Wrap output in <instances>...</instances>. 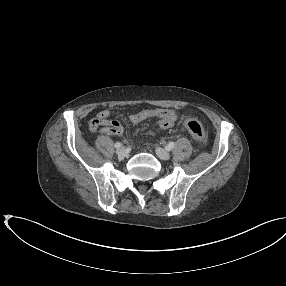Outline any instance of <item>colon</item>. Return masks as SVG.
<instances>
[{
	"instance_id": "5ec220e1",
	"label": "colon",
	"mask_w": 286,
	"mask_h": 286,
	"mask_svg": "<svg viewBox=\"0 0 286 286\" xmlns=\"http://www.w3.org/2000/svg\"><path fill=\"white\" fill-rule=\"evenodd\" d=\"M185 127L188 129L192 137L199 144H203L206 140V134L203 125L195 119H187L184 122Z\"/></svg>"
}]
</instances>
